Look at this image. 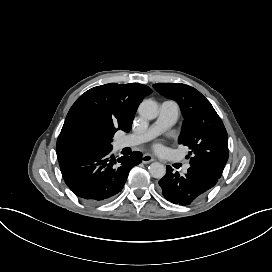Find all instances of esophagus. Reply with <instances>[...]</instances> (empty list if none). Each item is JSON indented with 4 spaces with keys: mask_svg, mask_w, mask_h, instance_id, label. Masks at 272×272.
I'll use <instances>...</instances> for the list:
<instances>
[{
    "mask_svg": "<svg viewBox=\"0 0 272 272\" xmlns=\"http://www.w3.org/2000/svg\"><path fill=\"white\" fill-rule=\"evenodd\" d=\"M141 160L143 163H151V162L155 161V158L151 154H144L142 156Z\"/></svg>",
    "mask_w": 272,
    "mask_h": 272,
    "instance_id": "1",
    "label": "esophagus"
}]
</instances>
